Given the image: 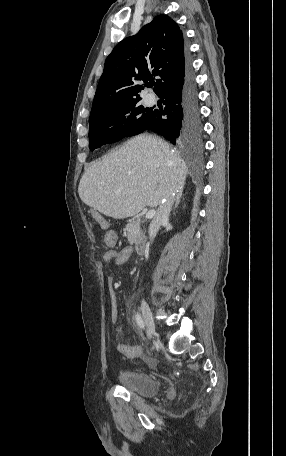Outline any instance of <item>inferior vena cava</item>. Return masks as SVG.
Here are the masks:
<instances>
[{"instance_id":"obj_1","label":"inferior vena cava","mask_w":286,"mask_h":456,"mask_svg":"<svg viewBox=\"0 0 286 456\" xmlns=\"http://www.w3.org/2000/svg\"><path fill=\"white\" fill-rule=\"evenodd\" d=\"M174 194L165 195V197L159 203L155 217L152 219L149 225V239L150 242L154 240L156 234L158 233L160 226L168 220V216L173 205Z\"/></svg>"}]
</instances>
